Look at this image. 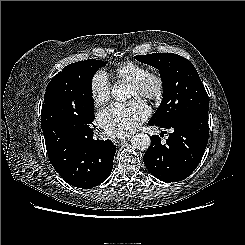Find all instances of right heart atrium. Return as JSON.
I'll return each instance as SVG.
<instances>
[{
  "label": "right heart atrium",
  "instance_id": "right-heart-atrium-1",
  "mask_svg": "<svg viewBox=\"0 0 245 245\" xmlns=\"http://www.w3.org/2000/svg\"><path fill=\"white\" fill-rule=\"evenodd\" d=\"M90 94L95 106H102L110 100L111 83L105 72L94 73L90 80Z\"/></svg>",
  "mask_w": 245,
  "mask_h": 245
}]
</instances>
